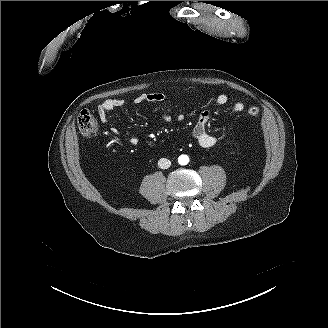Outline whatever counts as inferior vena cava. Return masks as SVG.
I'll return each instance as SVG.
<instances>
[{
  "mask_svg": "<svg viewBox=\"0 0 328 328\" xmlns=\"http://www.w3.org/2000/svg\"><path fill=\"white\" fill-rule=\"evenodd\" d=\"M158 166L162 169H167L171 166V162H170V160H168L166 158H161L158 161Z\"/></svg>",
  "mask_w": 328,
  "mask_h": 328,
  "instance_id": "602c4592",
  "label": "inferior vena cava"
}]
</instances>
